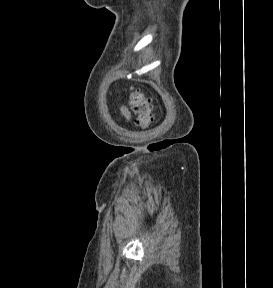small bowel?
<instances>
[{
	"mask_svg": "<svg viewBox=\"0 0 273 288\" xmlns=\"http://www.w3.org/2000/svg\"><path fill=\"white\" fill-rule=\"evenodd\" d=\"M122 113H123V115L125 116V118H126L127 120L130 119L131 114H130V112H129V110H128L127 108H122Z\"/></svg>",
	"mask_w": 273,
	"mask_h": 288,
	"instance_id": "obj_1",
	"label": "small bowel"
}]
</instances>
